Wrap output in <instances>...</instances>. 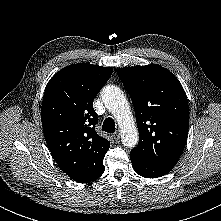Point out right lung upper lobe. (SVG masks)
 <instances>
[{"label":"right lung upper lobe","instance_id":"obj_1","mask_svg":"<svg viewBox=\"0 0 221 221\" xmlns=\"http://www.w3.org/2000/svg\"><path fill=\"white\" fill-rule=\"evenodd\" d=\"M111 67L89 63L69 65L45 88L42 126L49 150L71 179L89 183L104 172L110 142L97 135L93 99L111 76Z\"/></svg>","mask_w":221,"mask_h":221}]
</instances>
